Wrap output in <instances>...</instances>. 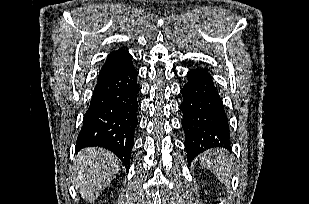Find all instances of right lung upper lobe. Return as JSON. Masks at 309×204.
Wrapping results in <instances>:
<instances>
[{"instance_id": "1", "label": "right lung upper lobe", "mask_w": 309, "mask_h": 204, "mask_svg": "<svg viewBox=\"0 0 309 204\" xmlns=\"http://www.w3.org/2000/svg\"><path fill=\"white\" fill-rule=\"evenodd\" d=\"M132 65V56L124 49L110 53L102 66L98 79Z\"/></svg>"}]
</instances>
